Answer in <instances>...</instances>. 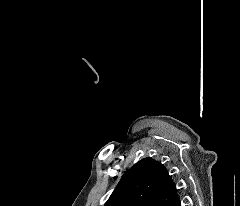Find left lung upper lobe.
Returning a JSON list of instances; mask_svg holds the SVG:
<instances>
[{
	"mask_svg": "<svg viewBox=\"0 0 240 206\" xmlns=\"http://www.w3.org/2000/svg\"><path fill=\"white\" fill-rule=\"evenodd\" d=\"M177 197L167 169L144 158L124 173L105 206H172Z\"/></svg>",
	"mask_w": 240,
	"mask_h": 206,
	"instance_id": "left-lung-upper-lobe-1",
	"label": "left lung upper lobe"
}]
</instances>
